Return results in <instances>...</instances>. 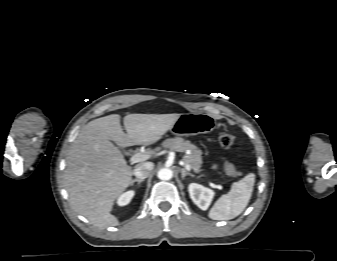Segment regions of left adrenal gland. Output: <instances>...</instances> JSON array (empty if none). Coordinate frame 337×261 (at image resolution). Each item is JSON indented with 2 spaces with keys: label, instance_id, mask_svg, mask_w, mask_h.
Returning <instances> with one entry per match:
<instances>
[{
  "label": "left adrenal gland",
  "instance_id": "a2214340",
  "mask_svg": "<svg viewBox=\"0 0 337 261\" xmlns=\"http://www.w3.org/2000/svg\"><path fill=\"white\" fill-rule=\"evenodd\" d=\"M180 172H181V177L182 179H184L186 176H191V177H194V175L188 171H186L185 169H180Z\"/></svg>",
  "mask_w": 337,
  "mask_h": 261
}]
</instances>
